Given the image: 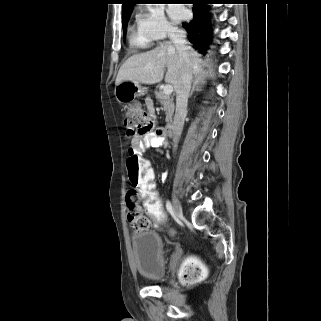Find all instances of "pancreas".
Instances as JSON below:
<instances>
[{
	"label": "pancreas",
	"mask_w": 321,
	"mask_h": 321,
	"mask_svg": "<svg viewBox=\"0 0 321 321\" xmlns=\"http://www.w3.org/2000/svg\"><path fill=\"white\" fill-rule=\"evenodd\" d=\"M157 100L163 106V110L166 114V122L170 123L172 121V116L174 113V103L173 99L169 96L164 94L163 92H155Z\"/></svg>",
	"instance_id": "1"
}]
</instances>
